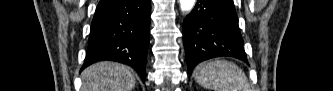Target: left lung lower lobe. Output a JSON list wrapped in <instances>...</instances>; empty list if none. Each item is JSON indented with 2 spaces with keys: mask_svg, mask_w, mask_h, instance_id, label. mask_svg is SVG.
<instances>
[{
  "mask_svg": "<svg viewBox=\"0 0 333 91\" xmlns=\"http://www.w3.org/2000/svg\"><path fill=\"white\" fill-rule=\"evenodd\" d=\"M188 71L200 62L231 56L247 62L233 0H198L183 22Z\"/></svg>",
  "mask_w": 333,
  "mask_h": 91,
  "instance_id": "obj_1",
  "label": "left lung lower lobe"
}]
</instances>
